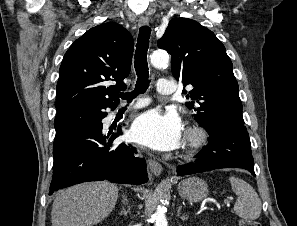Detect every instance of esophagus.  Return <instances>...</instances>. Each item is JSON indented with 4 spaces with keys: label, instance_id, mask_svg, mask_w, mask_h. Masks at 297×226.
<instances>
[{
    "label": "esophagus",
    "instance_id": "obj_1",
    "mask_svg": "<svg viewBox=\"0 0 297 226\" xmlns=\"http://www.w3.org/2000/svg\"><path fill=\"white\" fill-rule=\"evenodd\" d=\"M138 25L141 26H148L149 25V20L146 17H140L138 20ZM147 164L149 169L151 170V172L155 175V176H159L162 173V166L160 165V163H158L157 161H155L152 158H149L147 160Z\"/></svg>",
    "mask_w": 297,
    "mask_h": 226
}]
</instances>
